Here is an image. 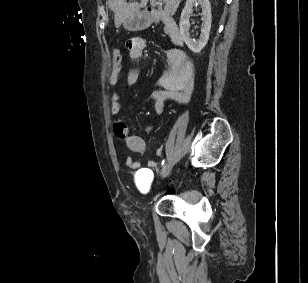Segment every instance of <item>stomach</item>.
<instances>
[{
    "mask_svg": "<svg viewBox=\"0 0 308 283\" xmlns=\"http://www.w3.org/2000/svg\"><path fill=\"white\" fill-rule=\"evenodd\" d=\"M151 21L147 14L139 12L126 18L123 22V27L128 31H140L149 27Z\"/></svg>",
    "mask_w": 308,
    "mask_h": 283,
    "instance_id": "0dacf381",
    "label": "stomach"
}]
</instances>
